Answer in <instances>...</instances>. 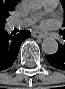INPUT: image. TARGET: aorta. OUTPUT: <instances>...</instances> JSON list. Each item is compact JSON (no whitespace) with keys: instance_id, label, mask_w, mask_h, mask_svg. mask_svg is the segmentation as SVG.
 <instances>
[{"instance_id":"1","label":"aorta","mask_w":65,"mask_h":89,"mask_svg":"<svg viewBox=\"0 0 65 89\" xmlns=\"http://www.w3.org/2000/svg\"><path fill=\"white\" fill-rule=\"evenodd\" d=\"M27 6L31 10H38L42 7L41 0H29ZM42 50L47 55L55 54L58 50V43L54 38H46L42 42Z\"/></svg>"}]
</instances>
